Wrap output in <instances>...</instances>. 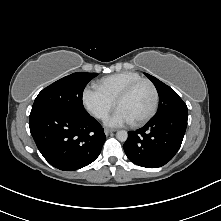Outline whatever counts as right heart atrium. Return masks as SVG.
I'll return each mask as SVG.
<instances>
[{
    "mask_svg": "<svg viewBox=\"0 0 221 221\" xmlns=\"http://www.w3.org/2000/svg\"><path fill=\"white\" fill-rule=\"evenodd\" d=\"M84 107L97 119L104 120L115 106V102L98 88L86 87L82 93Z\"/></svg>",
    "mask_w": 221,
    "mask_h": 221,
    "instance_id": "d8ad5b80",
    "label": "right heart atrium"
}]
</instances>
